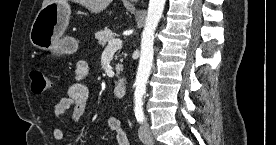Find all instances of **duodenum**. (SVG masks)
I'll return each instance as SVG.
<instances>
[{
  "mask_svg": "<svg viewBox=\"0 0 276 145\" xmlns=\"http://www.w3.org/2000/svg\"><path fill=\"white\" fill-rule=\"evenodd\" d=\"M114 95L118 98L124 97L127 91V81L124 78L118 79L114 84Z\"/></svg>",
  "mask_w": 276,
  "mask_h": 145,
  "instance_id": "obj_1",
  "label": "duodenum"
}]
</instances>
